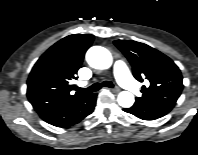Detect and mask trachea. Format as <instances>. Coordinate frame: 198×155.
Instances as JSON below:
<instances>
[{"label": "trachea", "mask_w": 198, "mask_h": 155, "mask_svg": "<svg viewBox=\"0 0 198 155\" xmlns=\"http://www.w3.org/2000/svg\"><path fill=\"white\" fill-rule=\"evenodd\" d=\"M102 87L113 88L114 85L110 81H104L102 83H95L88 88H78V91L84 92V93H92V92H96V91L100 90Z\"/></svg>", "instance_id": "obj_1"}]
</instances>
